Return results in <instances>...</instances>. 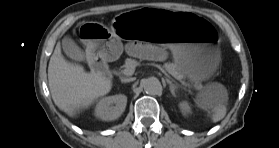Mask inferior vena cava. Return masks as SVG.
Instances as JSON below:
<instances>
[{
    "label": "inferior vena cava",
    "instance_id": "602c4592",
    "mask_svg": "<svg viewBox=\"0 0 279 148\" xmlns=\"http://www.w3.org/2000/svg\"><path fill=\"white\" fill-rule=\"evenodd\" d=\"M135 78H126V79H123L124 82H130V81H134Z\"/></svg>",
    "mask_w": 279,
    "mask_h": 148
}]
</instances>
